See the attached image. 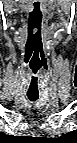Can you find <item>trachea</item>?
I'll list each match as a JSON object with an SVG mask.
<instances>
[{"label":"trachea","instance_id":"obj_1","mask_svg":"<svg viewBox=\"0 0 77 143\" xmlns=\"http://www.w3.org/2000/svg\"><path fill=\"white\" fill-rule=\"evenodd\" d=\"M38 97H39L38 95H29V94H28V99H29L30 101H33V102L36 101V100L38 99Z\"/></svg>","mask_w":77,"mask_h":143}]
</instances>
